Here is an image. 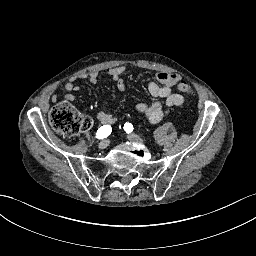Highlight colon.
<instances>
[{
  "label": "colon",
  "mask_w": 256,
  "mask_h": 256,
  "mask_svg": "<svg viewBox=\"0 0 256 256\" xmlns=\"http://www.w3.org/2000/svg\"><path fill=\"white\" fill-rule=\"evenodd\" d=\"M180 89L187 94L192 93L191 86L186 82L180 83ZM49 121L54 130L65 136L72 137L81 131H86L92 126L88 116L77 112L69 102H61L50 113Z\"/></svg>",
  "instance_id": "obj_1"
}]
</instances>
